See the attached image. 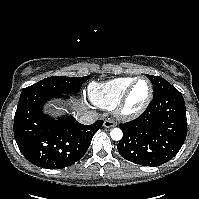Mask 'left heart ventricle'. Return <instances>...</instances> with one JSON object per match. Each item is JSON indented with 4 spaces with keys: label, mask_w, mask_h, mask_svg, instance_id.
Returning a JSON list of instances; mask_svg holds the SVG:
<instances>
[{
    "label": "left heart ventricle",
    "mask_w": 199,
    "mask_h": 199,
    "mask_svg": "<svg viewBox=\"0 0 199 199\" xmlns=\"http://www.w3.org/2000/svg\"><path fill=\"white\" fill-rule=\"evenodd\" d=\"M149 93V84L144 80H139L134 86L128 99L127 108L132 110L139 107L147 98Z\"/></svg>",
    "instance_id": "1"
}]
</instances>
